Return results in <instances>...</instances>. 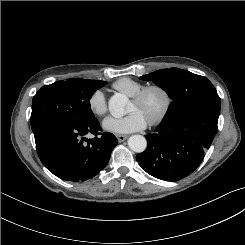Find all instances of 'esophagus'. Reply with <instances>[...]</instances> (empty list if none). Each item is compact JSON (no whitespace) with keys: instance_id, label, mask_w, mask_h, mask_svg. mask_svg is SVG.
<instances>
[{"instance_id":"34e87169","label":"esophagus","mask_w":245,"mask_h":245,"mask_svg":"<svg viewBox=\"0 0 245 245\" xmlns=\"http://www.w3.org/2000/svg\"><path fill=\"white\" fill-rule=\"evenodd\" d=\"M116 138L118 139L119 142H123V141H125L128 138V136L127 135L118 134V135H116Z\"/></svg>"}]
</instances>
